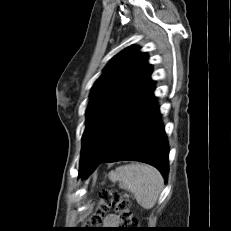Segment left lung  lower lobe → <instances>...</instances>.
Instances as JSON below:
<instances>
[{
  "mask_svg": "<svg viewBox=\"0 0 231 231\" xmlns=\"http://www.w3.org/2000/svg\"><path fill=\"white\" fill-rule=\"evenodd\" d=\"M154 89L150 75L108 124L80 166V177L88 176L102 163L132 160L155 166L167 179L169 147Z\"/></svg>",
  "mask_w": 231,
  "mask_h": 231,
  "instance_id": "0a47b994",
  "label": "left lung lower lobe"
}]
</instances>
